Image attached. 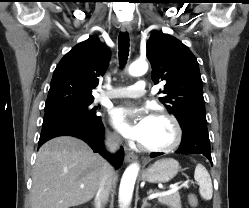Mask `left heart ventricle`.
<instances>
[{"mask_svg":"<svg viewBox=\"0 0 249 208\" xmlns=\"http://www.w3.org/2000/svg\"><path fill=\"white\" fill-rule=\"evenodd\" d=\"M173 139L174 130L170 122L153 117L148 135L142 144L149 147H162L171 143Z\"/></svg>","mask_w":249,"mask_h":208,"instance_id":"b2bd125f","label":"left heart ventricle"}]
</instances>
